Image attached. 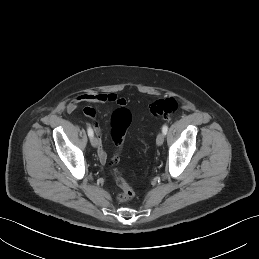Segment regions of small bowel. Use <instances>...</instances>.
Masks as SVG:
<instances>
[{
  "instance_id": "small-bowel-1",
  "label": "small bowel",
  "mask_w": 259,
  "mask_h": 259,
  "mask_svg": "<svg viewBox=\"0 0 259 259\" xmlns=\"http://www.w3.org/2000/svg\"><path fill=\"white\" fill-rule=\"evenodd\" d=\"M88 102L93 104H105V103H112L117 105L118 107H126L127 102L126 99L123 97L118 96L115 93H82L77 95L69 104H68V111L73 112L77 108L78 104ZM84 114L87 117L94 118L95 117V110L89 106L83 109ZM93 128L97 135L99 136L98 140V159L101 163H105L107 159V153L100 141V127L97 123L93 125Z\"/></svg>"
}]
</instances>
